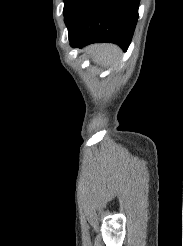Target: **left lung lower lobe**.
Masks as SVG:
<instances>
[{"label":"left lung lower lobe","mask_w":183,"mask_h":246,"mask_svg":"<svg viewBox=\"0 0 183 246\" xmlns=\"http://www.w3.org/2000/svg\"><path fill=\"white\" fill-rule=\"evenodd\" d=\"M139 2L73 0L64 19L70 45L82 48L90 43L112 42L126 51L138 20Z\"/></svg>","instance_id":"1"}]
</instances>
